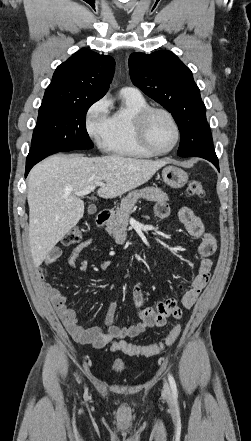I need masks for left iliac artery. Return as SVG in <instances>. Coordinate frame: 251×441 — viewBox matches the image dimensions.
<instances>
[{"instance_id":"44dca946","label":"left iliac artery","mask_w":251,"mask_h":441,"mask_svg":"<svg viewBox=\"0 0 251 441\" xmlns=\"http://www.w3.org/2000/svg\"><path fill=\"white\" fill-rule=\"evenodd\" d=\"M168 380H169L170 387H171V390H172L173 394H177L176 382H175V379L173 378V376L171 374H168Z\"/></svg>"}]
</instances>
